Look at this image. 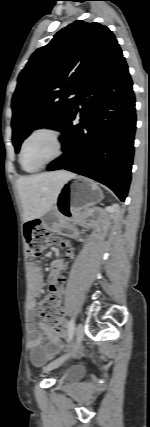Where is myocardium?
<instances>
[{
    "label": "myocardium",
    "instance_id": "obj_1",
    "mask_svg": "<svg viewBox=\"0 0 150 427\" xmlns=\"http://www.w3.org/2000/svg\"><path fill=\"white\" fill-rule=\"evenodd\" d=\"M39 134H48L53 138L55 145H56V152L50 159L46 160L45 162H43L42 164H40L36 168L29 170V169H26L24 164H23V152H24V149H25V146L27 145V143L33 137H35L36 135H39ZM63 152H64V140H63L62 132L56 128L49 127V126L38 127V128H35L34 130H32L26 136V138L23 140L21 147H20V151H19V164L22 167V169L26 172H37V171L43 169L44 167H46L47 165H49L50 163L57 160L59 157H61Z\"/></svg>",
    "mask_w": 150,
    "mask_h": 427
}]
</instances>
